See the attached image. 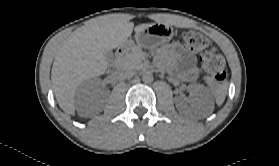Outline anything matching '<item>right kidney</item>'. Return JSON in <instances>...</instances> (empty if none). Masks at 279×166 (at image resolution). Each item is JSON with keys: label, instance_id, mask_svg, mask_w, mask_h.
<instances>
[{"label": "right kidney", "instance_id": "obj_1", "mask_svg": "<svg viewBox=\"0 0 279 166\" xmlns=\"http://www.w3.org/2000/svg\"><path fill=\"white\" fill-rule=\"evenodd\" d=\"M100 85V81H88L85 84L84 91L78 93L77 102L79 104L80 111H84L91 104L98 101V96L95 93V89Z\"/></svg>", "mask_w": 279, "mask_h": 166}]
</instances>
